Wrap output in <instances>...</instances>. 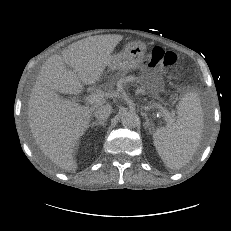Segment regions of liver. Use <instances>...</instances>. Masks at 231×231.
I'll list each match as a JSON object with an SVG mask.
<instances>
[{
	"label": "liver",
	"mask_w": 231,
	"mask_h": 231,
	"mask_svg": "<svg viewBox=\"0 0 231 231\" xmlns=\"http://www.w3.org/2000/svg\"><path fill=\"white\" fill-rule=\"evenodd\" d=\"M122 39V35L108 34L74 42L61 55L48 58L37 77L28 102L29 127L42 153L66 171L77 169L75 152L79 140L89 128L93 112L105 100L82 106L57 93L77 95L83 84L100 81Z\"/></svg>",
	"instance_id": "6515ba94"
}]
</instances>
